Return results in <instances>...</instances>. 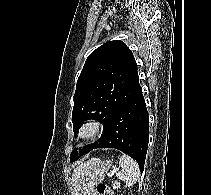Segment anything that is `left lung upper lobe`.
<instances>
[{
  "label": "left lung upper lobe",
  "instance_id": "1",
  "mask_svg": "<svg viewBox=\"0 0 211 195\" xmlns=\"http://www.w3.org/2000/svg\"><path fill=\"white\" fill-rule=\"evenodd\" d=\"M139 88L137 64L126 44L114 40L98 47L87 58L77 80L72 114L75 135L87 119L98 120L105 131L111 119ZM98 142L79 152L73 151L71 162L92 150Z\"/></svg>",
  "mask_w": 211,
  "mask_h": 195
}]
</instances>
